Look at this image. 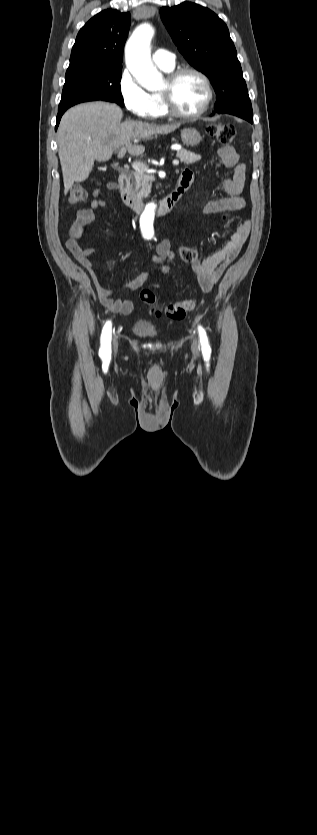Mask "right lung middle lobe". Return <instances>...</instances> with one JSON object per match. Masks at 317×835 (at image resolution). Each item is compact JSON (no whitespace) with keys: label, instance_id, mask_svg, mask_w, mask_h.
I'll list each match as a JSON object with an SVG mask.
<instances>
[{"label":"right lung middle lobe","instance_id":"obj_1","mask_svg":"<svg viewBox=\"0 0 317 835\" xmlns=\"http://www.w3.org/2000/svg\"><path fill=\"white\" fill-rule=\"evenodd\" d=\"M122 67L78 65L66 71L65 84L58 110L77 103L111 100L124 106L120 89Z\"/></svg>","mask_w":317,"mask_h":835}]
</instances>
